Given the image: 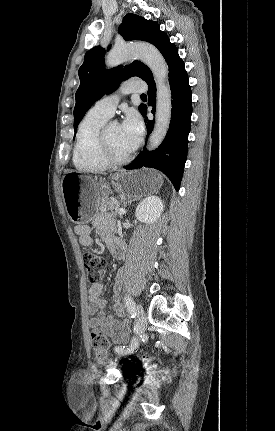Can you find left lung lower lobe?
Returning <instances> with one entry per match:
<instances>
[{
	"label": "left lung lower lobe",
	"mask_w": 275,
	"mask_h": 431,
	"mask_svg": "<svg viewBox=\"0 0 275 431\" xmlns=\"http://www.w3.org/2000/svg\"><path fill=\"white\" fill-rule=\"evenodd\" d=\"M169 68V82L172 92V116L165 140L153 152L146 149L126 169L151 167L162 171L173 183L176 191L180 188L184 165L187 159L188 134L191 129L192 100L191 88L183 60L178 55L176 46H173L166 56ZM149 86L148 103L155 112L156 85L152 79L146 82ZM142 115L145 117L147 107L144 106ZM147 134L153 129V121H148ZM147 135V136H148Z\"/></svg>",
	"instance_id": "0a47b994"
}]
</instances>
